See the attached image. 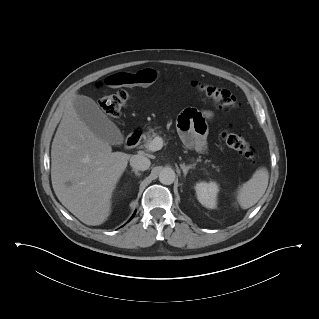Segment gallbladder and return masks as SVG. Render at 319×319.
<instances>
[{
  "mask_svg": "<svg viewBox=\"0 0 319 319\" xmlns=\"http://www.w3.org/2000/svg\"><path fill=\"white\" fill-rule=\"evenodd\" d=\"M73 106L79 118L100 139L112 144L123 143V135L118 127L104 114L99 105L87 96L77 95Z\"/></svg>",
  "mask_w": 319,
  "mask_h": 319,
  "instance_id": "1",
  "label": "gallbladder"
}]
</instances>
